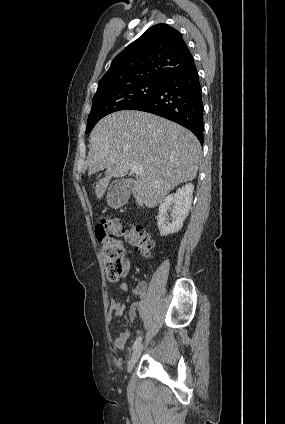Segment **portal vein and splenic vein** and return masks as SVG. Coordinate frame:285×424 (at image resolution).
Masks as SVG:
<instances>
[{
    "label": "portal vein and splenic vein",
    "instance_id": "18ae733b",
    "mask_svg": "<svg viewBox=\"0 0 285 424\" xmlns=\"http://www.w3.org/2000/svg\"><path fill=\"white\" fill-rule=\"evenodd\" d=\"M130 170H131V172H133L136 175H141L143 173L142 168L139 165H136V164H131Z\"/></svg>",
    "mask_w": 285,
    "mask_h": 424
}]
</instances>
